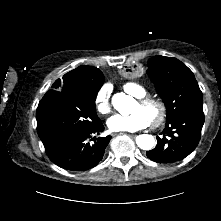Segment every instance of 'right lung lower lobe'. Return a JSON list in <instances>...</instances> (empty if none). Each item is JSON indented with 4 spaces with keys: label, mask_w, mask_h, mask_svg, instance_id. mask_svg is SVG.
<instances>
[{
    "label": "right lung lower lobe",
    "mask_w": 221,
    "mask_h": 221,
    "mask_svg": "<svg viewBox=\"0 0 221 221\" xmlns=\"http://www.w3.org/2000/svg\"><path fill=\"white\" fill-rule=\"evenodd\" d=\"M100 121L89 131L78 133L46 150L50 160L66 170L86 171L95 167L103 158L110 136L97 137L103 132Z\"/></svg>",
    "instance_id": "1"
}]
</instances>
